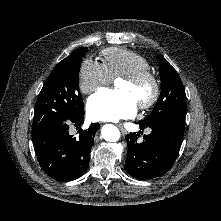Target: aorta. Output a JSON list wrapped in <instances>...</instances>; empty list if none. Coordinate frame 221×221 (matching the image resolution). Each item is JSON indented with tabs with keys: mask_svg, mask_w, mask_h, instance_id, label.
Returning <instances> with one entry per match:
<instances>
[{
	"mask_svg": "<svg viewBox=\"0 0 221 221\" xmlns=\"http://www.w3.org/2000/svg\"><path fill=\"white\" fill-rule=\"evenodd\" d=\"M101 133L102 137L108 142H116L120 139L119 129L112 124L103 126Z\"/></svg>",
	"mask_w": 221,
	"mask_h": 221,
	"instance_id": "aorta-1",
	"label": "aorta"
}]
</instances>
